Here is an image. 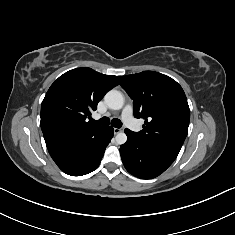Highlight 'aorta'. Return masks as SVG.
Masks as SVG:
<instances>
[{"label": "aorta", "instance_id": "obj_1", "mask_svg": "<svg viewBox=\"0 0 235 235\" xmlns=\"http://www.w3.org/2000/svg\"><path fill=\"white\" fill-rule=\"evenodd\" d=\"M105 104L112 110H119L124 105V98L122 94L117 90H110L104 97ZM116 143L119 145L125 144L127 136L124 132H120L115 137Z\"/></svg>", "mask_w": 235, "mask_h": 235}]
</instances>
